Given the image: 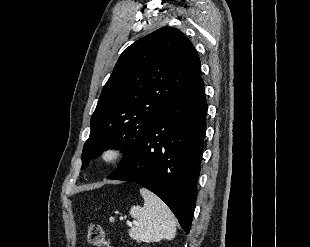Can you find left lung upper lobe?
<instances>
[{
    "label": "left lung upper lobe",
    "instance_id": "obj_1",
    "mask_svg": "<svg viewBox=\"0 0 310 247\" xmlns=\"http://www.w3.org/2000/svg\"><path fill=\"white\" fill-rule=\"evenodd\" d=\"M200 73L196 49L175 28L162 27L126 48L91 117L81 169L103 149H124L119 165L131 158L153 123Z\"/></svg>",
    "mask_w": 310,
    "mask_h": 247
}]
</instances>
